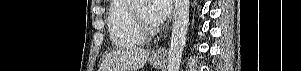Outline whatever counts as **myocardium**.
I'll return each instance as SVG.
<instances>
[{"label":"myocardium","mask_w":301,"mask_h":71,"mask_svg":"<svg viewBox=\"0 0 301 71\" xmlns=\"http://www.w3.org/2000/svg\"><path fill=\"white\" fill-rule=\"evenodd\" d=\"M130 10L138 30L145 36L151 35L155 31V27L150 21L139 14L136 8V1L131 4Z\"/></svg>","instance_id":"f54148a6"}]
</instances>
